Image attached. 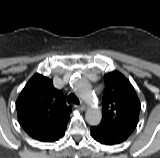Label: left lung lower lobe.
Instances as JSON below:
<instances>
[{
    "mask_svg": "<svg viewBox=\"0 0 160 158\" xmlns=\"http://www.w3.org/2000/svg\"><path fill=\"white\" fill-rule=\"evenodd\" d=\"M91 134L97 142L104 145L119 144L128 138L125 134L110 130L100 124L91 127Z\"/></svg>",
    "mask_w": 160,
    "mask_h": 158,
    "instance_id": "obj_1",
    "label": "left lung lower lobe"
}]
</instances>
